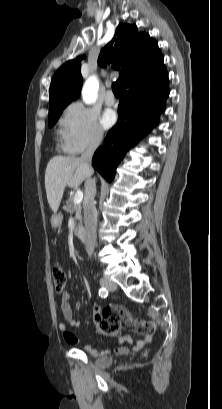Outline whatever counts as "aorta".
Returning <instances> with one entry per match:
<instances>
[{"label":"aorta","mask_w":222,"mask_h":409,"mask_svg":"<svg viewBox=\"0 0 222 409\" xmlns=\"http://www.w3.org/2000/svg\"><path fill=\"white\" fill-rule=\"evenodd\" d=\"M98 87L99 83L94 76L86 80L82 89V98L86 104H91L96 101Z\"/></svg>","instance_id":"aorta-1"}]
</instances>
